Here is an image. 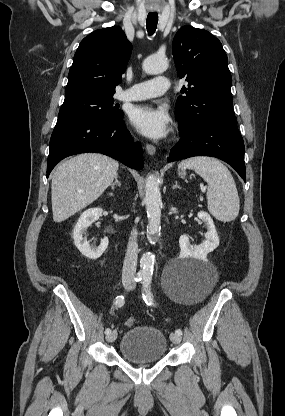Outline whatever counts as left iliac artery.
I'll return each instance as SVG.
<instances>
[{
	"instance_id": "obj_1",
	"label": "left iliac artery",
	"mask_w": 285,
	"mask_h": 416,
	"mask_svg": "<svg viewBox=\"0 0 285 416\" xmlns=\"http://www.w3.org/2000/svg\"><path fill=\"white\" fill-rule=\"evenodd\" d=\"M142 284H143V290H144L143 299H144L145 303L148 306L154 305V303H153V294H152L151 288H150V285H151V275L150 274H145L143 276ZM175 334L181 336L182 335L181 329H177L175 331Z\"/></svg>"
}]
</instances>
